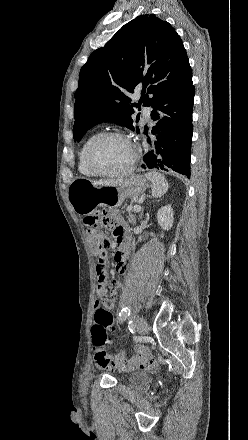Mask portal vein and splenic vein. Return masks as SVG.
<instances>
[{"mask_svg": "<svg viewBox=\"0 0 248 440\" xmlns=\"http://www.w3.org/2000/svg\"><path fill=\"white\" fill-rule=\"evenodd\" d=\"M134 212H140L141 211V206L140 205H135L133 207Z\"/></svg>", "mask_w": 248, "mask_h": 440, "instance_id": "obj_1", "label": "portal vein and splenic vein"}]
</instances>
